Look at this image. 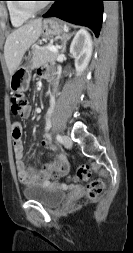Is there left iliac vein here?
Segmentation results:
<instances>
[{
	"label": "left iliac vein",
	"mask_w": 133,
	"mask_h": 253,
	"mask_svg": "<svg viewBox=\"0 0 133 253\" xmlns=\"http://www.w3.org/2000/svg\"><path fill=\"white\" fill-rule=\"evenodd\" d=\"M62 143L66 148H70L72 146V139L68 135H63Z\"/></svg>",
	"instance_id": "1"
}]
</instances>
